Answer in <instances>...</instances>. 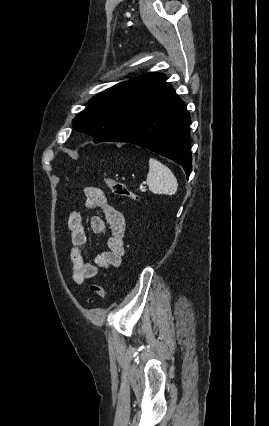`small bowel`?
Listing matches in <instances>:
<instances>
[{
    "label": "small bowel",
    "instance_id": "obj_1",
    "mask_svg": "<svg viewBox=\"0 0 269 426\" xmlns=\"http://www.w3.org/2000/svg\"><path fill=\"white\" fill-rule=\"evenodd\" d=\"M85 207L87 210H100L101 216L90 219V227L94 234L109 232L107 249L99 254L94 262L88 261L82 254L87 244V234L81 215L76 211L69 212L67 227L71 234L70 259L71 276L75 284L83 285L93 279L98 269L108 270L119 267L125 256V221L122 214L108 201L105 193L98 187L84 189Z\"/></svg>",
    "mask_w": 269,
    "mask_h": 426
}]
</instances>
